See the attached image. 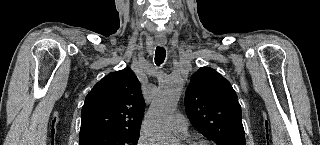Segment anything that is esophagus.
Listing matches in <instances>:
<instances>
[{
  "label": "esophagus",
  "mask_w": 320,
  "mask_h": 145,
  "mask_svg": "<svg viewBox=\"0 0 320 145\" xmlns=\"http://www.w3.org/2000/svg\"><path fill=\"white\" fill-rule=\"evenodd\" d=\"M157 43L161 46L166 44V38H158Z\"/></svg>",
  "instance_id": "34e87169"
}]
</instances>
